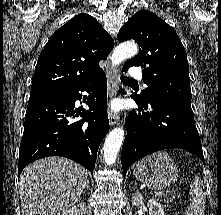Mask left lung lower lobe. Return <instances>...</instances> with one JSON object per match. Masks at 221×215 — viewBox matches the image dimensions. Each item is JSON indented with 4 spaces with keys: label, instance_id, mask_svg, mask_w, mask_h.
Segmentation results:
<instances>
[{
    "label": "left lung lower lobe",
    "instance_id": "obj_1",
    "mask_svg": "<svg viewBox=\"0 0 221 215\" xmlns=\"http://www.w3.org/2000/svg\"><path fill=\"white\" fill-rule=\"evenodd\" d=\"M131 98L138 104L139 112L131 111L126 121L127 135L121 153L124 174L132 163L168 148L187 150L204 163L191 105L162 98L145 102L134 93Z\"/></svg>",
    "mask_w": 221,
    "mask_h": 215
}]
</instances>
